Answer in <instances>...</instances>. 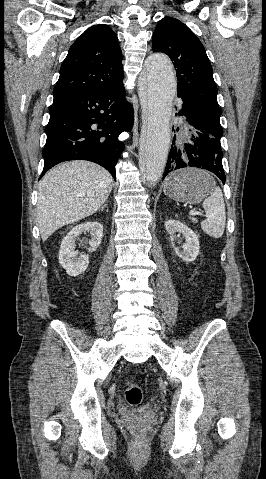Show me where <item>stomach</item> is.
Wrapping results in <instances>:
<instances>
[{"label":"stomach","instance_id":"0dacf381","mask_svg":"<svg viewBox=\"0 0 266 479\" xmlns=\"http://www.w3.org/2000/svg\"><path fill=\"white\" fill-rule=\"evenodd\" d=\"M213 178L204 170L186 168L171 173L164 182V193L178 202L196 204L214 189Z\"/></svg>","mask_w":266,"mask_h":479}]
</instances>
